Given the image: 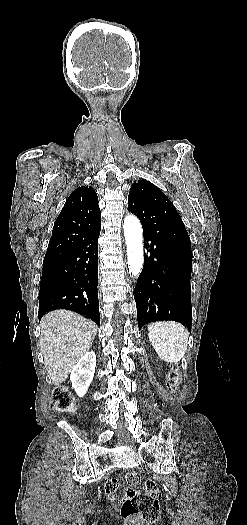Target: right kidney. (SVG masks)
<instances>
[{"mask_svg": "<svg viewBox=\"0 0 247 525\" xmlns=\"http://www.w3.org/2000/svg\"><path fill=\"white\" fill-rule=\"evenodd\" d=\"M96 367V355L94 351L86 353L81 357L79 363L73 367L70 375L72 381V389H74L78 397L86 395L94 377Z\"/></svg>", "mask_w": 247, "mask_h": 525, "instance_id": "1", "label": "right kidney"}]
</instances>
